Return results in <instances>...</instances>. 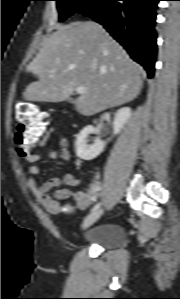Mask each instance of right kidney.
Here are the masks:
<instances>
[{
    "mask_svg": "<svg viewBox=\"0 0 180 299\" xmlns=\"http://www.w3.org/2000/svg\"><path fill=\"white\" fill-rule=\"evenodd\" d=\"M131 115V108L129 107H123L116 112L113 122V136L121 132L125 124L130 119ZM94 123H96V121ZM98 132V127L88 125L83 128L77 135L75 148L76 154L79 158L89 161L96 158L103 151L106 145V141H102L100 138H96L92 144L88 143L89 135L97 134Z\"/></svg>",
    "mask_w": 180,
    "mask_h": 299,
    "instance_id": "right-kidney-1",
    "label": "right kidney"
}]
</instances>
